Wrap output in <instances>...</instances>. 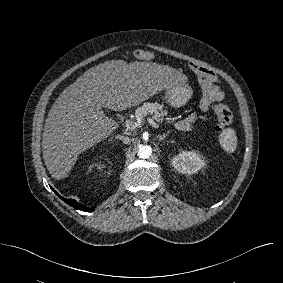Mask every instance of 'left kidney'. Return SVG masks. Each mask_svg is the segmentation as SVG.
Segmentation results:
<instances>
[{"instance_id":"left-kidney-1","label":"left kidney","mask_w":283,"mask_h":283,"mask_svg":"<svg viewBox=\"0 0 283 283\" xmlns=\"http://www.w3.org/2000/svg\"><path fill=\"white\" fill-rule=\"evenodd\" d=\"M173 167L182 174H194L206 163L196 151H181L171 160Z\"/></svg>"}]
</instances>
